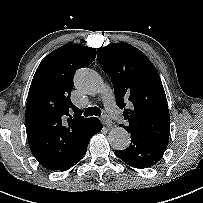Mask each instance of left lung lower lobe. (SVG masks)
Listing matches in <instances>:
<instances>
[{
	"label": "left lung lower lobe",
	"instance_id": "left-lung-lower-lobe-1",
	"mask_svg": "<svg viewBox=\"0 0 203 203\" xmlns=\"http://www.w3.org/2000/svg\"><path fill=\"white\" fill-rule=\"evenodd\" d=\"M130 134V146L124 150H116V155L121 160L135 168H148L162 158L167 145L152 141L141 134Z\"/></svg>",
	"mask_w": 203,
	"mask_h": 203
}]
</instances>
